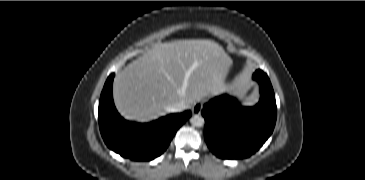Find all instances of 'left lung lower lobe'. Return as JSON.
I'll return each mask as SVG.
<instances>
[{
  "instance_id": "left-lung-lower-lobe-1",
  "label": "left lung lower lobe",
  "mask_w": 365,
  "mask_h": 180,
  "mask_svg": "<svg viewBox=\"0 0 365 180\" xmlns=\"http://www.w3.org/2000/svg\"><path fill=\"white\" fill-rule=\"evenodd\" d=\"M253 79L260 85V100L253 107H243L223 95L206 103L204 137L209 149L219 158H247L272 134L277 116L276 100L266 73L257 70Z\"/></svg>"
}]
</instances>
